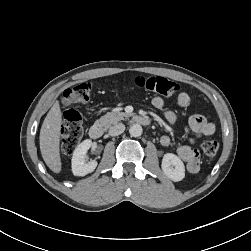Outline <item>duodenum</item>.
Masks as SVG:
<instances>
[{
    "instance_id": "1",
    "label": "duodenum",
    "mask_w": 251,
    "mask_h": 251,
    "mask_svg": "<svg viewBox=\"0 0 251 251\" xmlns=\"http://www.w3.org/2000/svg\"><path fill=\"white\" fill-rule=\"evenodd\" d=\"M133 121L137 124L140 125H149L150 124V119L146 116H142V115H135L133 117ZM103 135V127L101 125H93L90 127L89 129V136L91 139H99L101 138Z\"/></svg>"
}]
</instances>
